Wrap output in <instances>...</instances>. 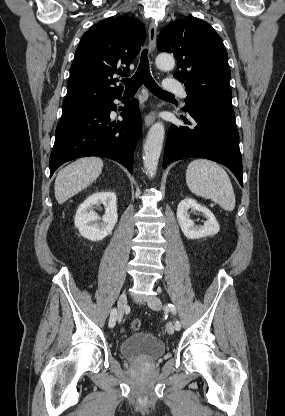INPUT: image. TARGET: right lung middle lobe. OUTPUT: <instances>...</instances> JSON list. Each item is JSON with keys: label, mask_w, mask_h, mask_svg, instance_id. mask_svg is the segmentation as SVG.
I'll list each match as a JSON object with an SVG mask.
<instances>
[{"label": "right lung middle lobe", "mask_w": 285, "mask_h": 416, "mask_svg": "<svg viewBox=\"0 0 285 416\" xmlns=\"http://www.w3.org/2000/svg\"><path fill=\"white\" fill-rule=\"evenodd\" d=\"M104 104H63V112L81 110L85 108L101 106Z\"/></svg>", "instance_id": "right-lung-middle-lobe-1"}]
</instances>
